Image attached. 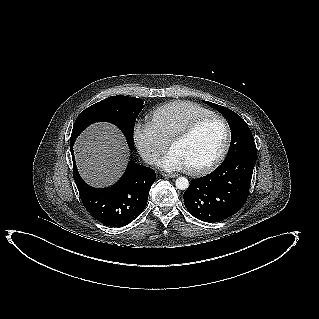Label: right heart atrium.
<instances>
[{
	"instance_id": "right-heart-atrium-1",
	"label": "right heart atrium",
	"mask_w": 319,
	"mask_h": 319,
	"mask_svg": "<svg viewBox=\"0 0 319 319\" xmlns=\"http://www.w3.org/2000/svg\"><path fill=\"white\" fill-rule=\"evenodd\" d=\"M132 138L139 154L148 164H155L168 146V141L150 121H138L133 127Z\"/></svg>"
}]
</instances>
